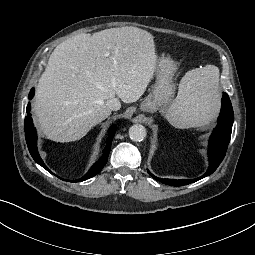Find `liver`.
Instances as JSON below:
<instances>
[{"instance_id":"1","label":"liver","mask_w":255,"mask_h":255,"mask_svg":"<svg viewBox=\"0 0 255 255\" xmlns=\"http://www.w3.org/2000/svg\"><path fill=\"white\" fill-rule=\"evenodd\" d=\"M155 52L153 35L131 26L82 33L59 44L36 88L41 131L53 141H76L110 116L107 100L137 101L155 72Z\"/></svg>"}]
</instances>
